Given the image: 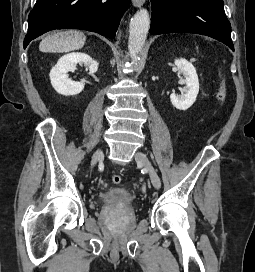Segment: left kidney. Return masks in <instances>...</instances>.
I'll return each instance as SVG.
<instances>
[{
	"instance_id": "obj_1",
	"label": "left kidney",
	"mask_w": 255,
	"mask_h": 272,
	"mask_svg": "<svg viewBox=\"0 0 255 272\" xmlns=\"http://www.w3.org/2000/svg\"><path fill=\"white\" fill-rule=\"evenodd\" d=\"M174 63L179 72L184 76L181 83L186 86L181 89V95L172 93L170 95V100L175 108L185 111L193 105L199 93L198 75L193 64L188 62L186 59H175Z\"/></svg>"
}]
</instances>
